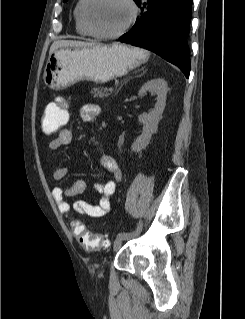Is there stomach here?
Returning a JSON list of instances; mask_svg holds the SVG:
<instances>
[{"label":"stomach","mask_w":245,"mask_h":319,"mask_svg":"<svg viewBox=\"0 0 245 319\" xmlns=\"http://www.w3.org/2000/svg\"><path fill=\"white\" fill-rule=\"evenodd\" d=\"M146 51L121 44L59 48L49 55L45 85L62 90L81 80L107 82L147 60Z\"/></svg>","instance_id":"1"}]
</instances>
